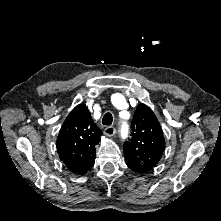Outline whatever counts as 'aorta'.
<instances>
[{
  "label": "aorta",
  "mask_w": 221,
  "mask_h": 221,
  "mask_svg": "<svg viewBox=\"0 0 221 221\" xmlns=\"http://www.w3.org/2000/svg\"><path fill=\"white\" fill-rule=\"evenodd\" d=\"M129 133V125L127 123H123L121 126V136L122 138H126Z\"/></svg>",
  "instance_id": "1"
}]
</instances>
